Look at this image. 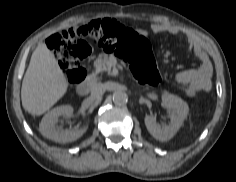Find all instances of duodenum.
<instances>
[{"instance_id": "1", "label": "duodenum", "mask_w": 236, "mask_h": 182, "mask_svg": "<svg viewBox=\"0 0 236 182\" xmlns=\"http://www.w3.org/2000/svg\"><path fill=\"white\" fill-rule=\"evenodd\" d=\"M95 82V78L91 77L89 79H87L86 81H84L83 83H81L78 87V93L81 96H85L89 93L91 87L93 86Z\"/></svg>"}]
</instances>
